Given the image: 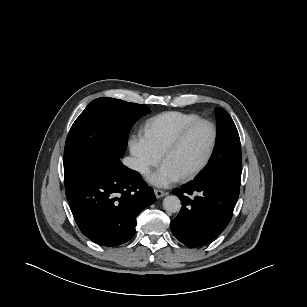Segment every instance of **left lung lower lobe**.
I'll list each match as a JSON object with an SVG mask.
<instances>
[{"mask_svg": "<svg viewBox=\"0 0 307 307\" xmlns=\"http://www.w3.org/2000/svg\"><path fill=\"white\" fill-rule=\"evenodd\" d=\"M197 193L194 199L188 195ZM183 207L171 221L173 235L188 247H199L214 240L227 227L239 190L216 179L197 180L173 190Z\"/></svg>", "mask_w": 307, "mask_h": 307, "instance_id": "left-lung-lower-lobe-1", "label": "left lung lower lobe"}]
</instances>
